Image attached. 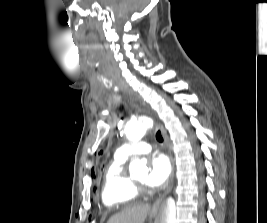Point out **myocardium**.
Listing matches in <instances>:
<instances>
[{"mask_svg": "<svg viewBox=\"0 0 267 223\" xmlns=\"http://www.w3.org/2000/svg\"><path fill=\"white\" fill-rule=\"evenodd\" d=\"M132 188L136 194H145L147 193V187L144 184L138 183L135 180L130 179Z\"/></svg>", "mask_w": 267, "mask_h": 223, "instance_id": "f54148a6", "label": "myocardium"}]
</instances>
